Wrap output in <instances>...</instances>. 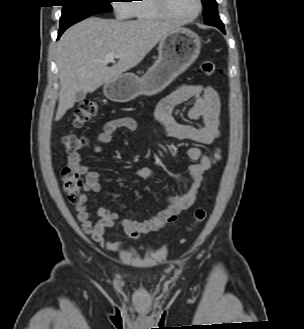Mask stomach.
<instances>
[{"instance_id": "obj_1", "label": "stomach", "mask_w": 304, "mask_h": 329, "mask_svg": "<svg viewBox=\"0 0 304 329\" xmlns=\"http://www.w3.org/2000/svg\"><path fill=\"white\" fill-rule=\"evenodd\" d=\"M199 36L186 28H177L160 40L158 58L142 76L125 73L107 82L103 92L115 102H129L139 95L151 96L167 87L199 56Z\"/></svg>"}]
</instances>
